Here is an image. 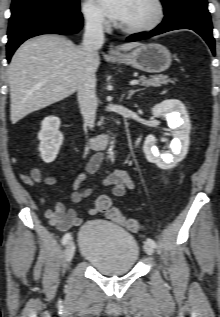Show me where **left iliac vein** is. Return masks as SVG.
Instances as JSON below:
<instances>
[{
  "instance_id": "4c4485c4",
  "label": "left iliac vein",
  "mask_w": 220,
  "mask_h": 317,
  "mask_svg": "<svg viewBox=\"0 0 220 317\" xmlns=\"http://www.w3.org/2000/svg\"><path fill=\"white\" fill-rule=\"evenodd\" d=\"M144 250L148 255H152L154 253V248L147 242L144 243Z\"/></svg>"
}]
</instances>
